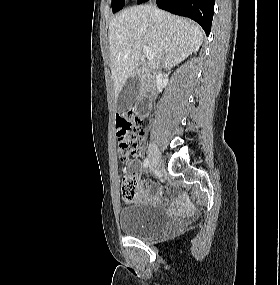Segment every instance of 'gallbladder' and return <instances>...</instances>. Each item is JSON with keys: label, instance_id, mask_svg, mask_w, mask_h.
I'll use <instances>...</instances> for the list:
<instances>
[{"label": "gallbladder", "instance_id": "gallbladder-1", "mask_svg": "<svg viewBox=\"0 0 280 285\" xmlns=\"http://www.w3.org/2000/svg\"><path fill=\"white\" fill-rule=\"evenodd\" d=\"M141 84V76L136 74L126 81L116 101V110L118 113L127 110L137 100Z\"/></svg>", "mask_w": 280, "mask_h": 285}]
</instances>
